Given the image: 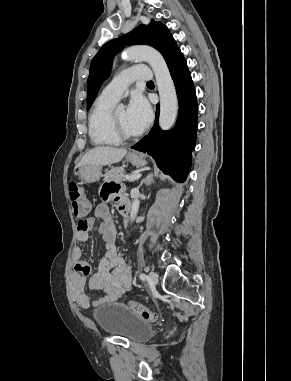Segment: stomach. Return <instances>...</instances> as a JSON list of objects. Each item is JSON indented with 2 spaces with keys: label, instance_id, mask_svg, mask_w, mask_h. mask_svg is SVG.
Masks as SVG:
<instances>
[{
  "label": "stomach",
  "instance_id": "stomach-1",
  "mask_svg": "<svg viewBox=\"0 0 291 381\" xmlns=\"http://www.w3.org/2000/svg\"><path fill=\"white\" fill-rule=\"evenodd\" d=\"M126 158L136 167H142L147 163L141 154L135 152L128 153ZM77 175L85 183H94L101 177V167L93 165L84 166L78 171Z\"/></svg>",
  "mask_w": 291,
  "mask_h": 381
}]
</instances>
